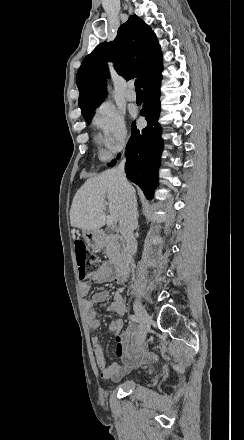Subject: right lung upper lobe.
I'll return each instance as SVG.
<instances>
[{
  "label": "right lung upper lobe",
  "mask_w": 244,
  "mask_h": 440,
  "mask_svg": "<svg viewBox=\"0 0 244 440\" xmlns=\"http://www.w3.org/2000/svg\"><path fill=\"white\" fill-rule=\"evenodd\" d=\"M108 61H112L116 71L126 79L139 77L143 82L162 66L156 35L143 20L132 15L119 27L112 42L99 44L85 57L76 76L82 112L97 108L104 100Z\"/></svg>",
  "instance_id": "1"
}]
</instances>
